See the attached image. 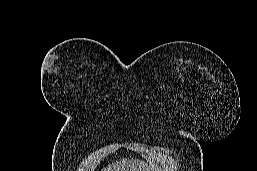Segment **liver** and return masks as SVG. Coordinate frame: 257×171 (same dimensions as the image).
I'll list each match as a JSON object with an SVG mask.
<instances>
[{"mask_svg":"<svg viewBox=\"0 0 257 171\" xmlns=\"http://www.w3.org/2000/svg\"><path fill=\"white\" fill-rule=\"evenodd\" d=\"M151 166V168H150ZM154 164H144L142 161L136 159H122L120 162L108 165L102 171H154ZM157 171V170H155Z\"/></svg>","mask_w":257,"mask_h":171,"instance_id":"liver-1","label":"liver"}]
</instances>
